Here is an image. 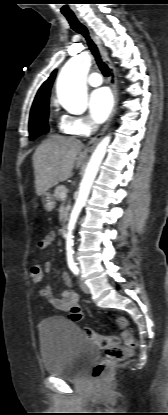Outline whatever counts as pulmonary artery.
I'll return each mask as SVG.
<instances>
[{"label": "pulmonary artery", "mask_w": 168, "mask_h": 415, "mask_svg": "<svg viewBox=\"0 0 168 415\" xmlns=\"http://www.w3.org/2000/svg\"><path fill=\"white\" fill-rule=\"evenodd\" d=\"M87 83L92 87H97L102 84V78L99 73L94 72L89 75Z\"/></svg>", "instance_id": "pulmonary-artery-1"}]
</instances>
